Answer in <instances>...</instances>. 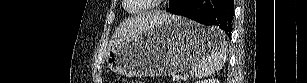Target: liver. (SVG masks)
<instances>
[{"instance_id":"liver-1","label":"liver","mask_w":307,"mask_h":83,"mask_svg":"<svg viewBox=\"0 0 307 83\" xmlns=\"http://www.w3.org/2000/svg\"><path fill=\"white\" fill-rule=\"evenodd\" d=\"M173 15L164 12H151L136 16L123 22L112 36L113 46L122 44L138 35L149 27L168 21Z\"/></svg>"}]
</instances>
